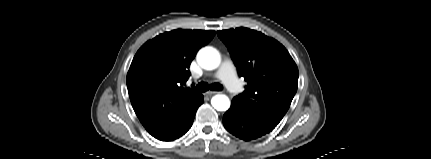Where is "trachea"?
Masks as SVG:
<instances>
[{
  "instance_id": "1",
  "label": "trachea",
  "mask_w": 431,
  "mask_h": 159,
  "mask_svg": "<svg viewBox=\"0 0 431 159\" xmlns=\"http://www.w3.org/2000/svg\"><path fill=\"white\" fill-rule=\"evenodd\" d=\"M209 89L213 90V91H221L223 89V86L219 83H214V84L208 85V83H206V82H200L196 86L195 92L196 93H203V92L208 91Z\"/></svg>"
}]
</instances>
